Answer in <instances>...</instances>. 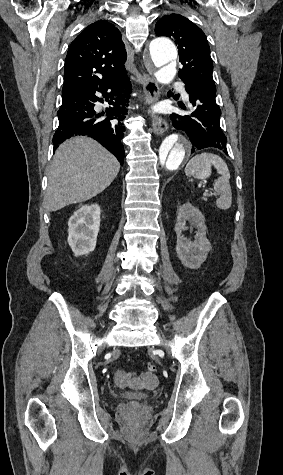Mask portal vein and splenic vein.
Listing matches in <instances>:
<instances>
[{
	"label": "portal vein and splenic vein",
	"instance_id": "1",
	"mask_svg": "<svg viewBox=\"0 0 283 475\" xmlns=\"http://www.w3.org/2000/svg\"><path fill=\"white\" fill-rule=\"evenodd\" d=\"M204 196V198L208 199V198H215L216 194H217V191L215 189H212L211 191H209L208 189H205L201 192Z\"/></svg>",
	"mask_w": 283,
	"mask_h": 475
}]
</instances>
